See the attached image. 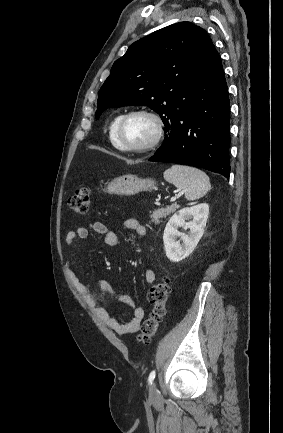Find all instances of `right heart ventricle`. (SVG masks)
Instances as JSON below:
<instances>
[{"instance_id":"right-heart-ventricle-1","label":"right heart ventricle","mask_w":283,"mask_h":433,"mask_svg":"<svg viewBox=\"0 0 283 433\" xmlns=\"http://www.w3.org/2000/svg\"><path fill=\"white\" fill-rule=\"evenodd\" d=\"M122 115H123V113L116 114L112 118V120L110 122V125H109V129H108V134H109L110 141H111L112 145L116 149H119V147H118V145L116 143V140H115V129H116V126H117L119 120L121 119Z\"/></svg>"}]
</instances>
